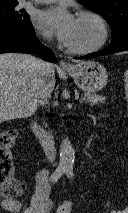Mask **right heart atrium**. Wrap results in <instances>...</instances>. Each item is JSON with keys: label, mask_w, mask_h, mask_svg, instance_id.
<instances>
[{"label": "right heart atrium", "mask_w": 128, "mask_h": 213, "mask_svg": "<svg viewBox=\"0 0 128 213\" xmlns=\"http://www.w3.org/2000/svg\"><path fill=\"white\" fill-rule=\"evenodd\" d=\"M44 39H45L46 41H49V37H48V36H45Z\"/></svg>", "instance_id": "right-heart-atrium-1"}]
</instances>
